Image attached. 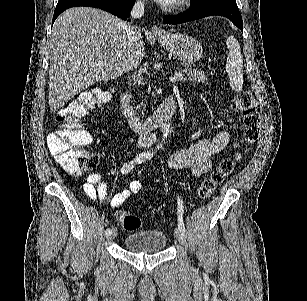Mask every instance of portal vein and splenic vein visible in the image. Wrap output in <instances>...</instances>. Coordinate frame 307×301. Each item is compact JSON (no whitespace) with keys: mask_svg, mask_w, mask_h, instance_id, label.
<instances>
[{"mask_svg":"<svg viewBox=\"0 0 307 301\" xmlns=\"http://www.w3.org/2000/svg\"><path fill=\"white\" fill-rule=\"evenodd\" d=\"M181 76V72H177V74H174V76H170V80H172V82H176V80H178V78H181Z\"/></svg>","mask_w":307,"mask_h":301,"instance_id":"18ae733b","label":"portal vein and splenic vein"}]
</instances>
